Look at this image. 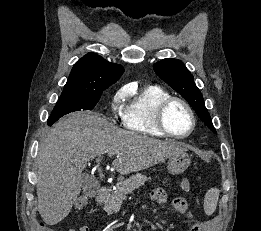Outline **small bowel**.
I'll return each mask as SVG.
<instances>
[{
    "label": "small bowel",
    "mask_w": 261,
    "mask_h": 231,
    "mask_svg": "<svg viewBox=\"0 0 261 231\" xmlns=\"http://www.w3.org/2000/svg\"><path fill=\"white\" fill-rule=\"evenodd\" d=\"M186 182H188V180L184 178L182 179L181 184L183 185ZM166 199L167 194L162 189L154 190L150 197V201L154 205L163 204ZM172 206L177 213L186 216L187 220L190 222L191 227L196 224L199 225V229L197 231H214V220L207 221L206 223H199L196 221L189 210V204L187 200L183 197L178 196L173 198ZM67 231H89V229L86 226H80L77 228H69Z\"/></svg>",
    "instance_id": "1"
}]
</instances>
